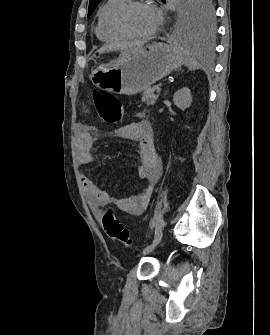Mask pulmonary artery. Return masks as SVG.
<instances>
[{
	"label": "pulmonary artery",
	"instance_id": "obj_1",
	"mask_svg": "<svg viewBox=\"0 0 270 335\" xmlns=\"http://www.w3.org/2000/svg\"><path fill=\"white\" fill-rule=\"evenodd\" d=\"M123 1H125V2H130L131 0H123Z\"/></svg>",
	"mask_w": 270,
	"mask_h": 335
}]
</instances>
